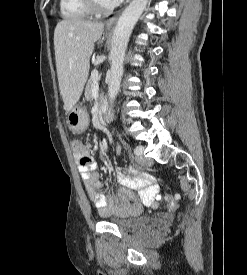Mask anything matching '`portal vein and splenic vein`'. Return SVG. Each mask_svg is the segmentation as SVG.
<instances>
[{
    "mask_svg": "<svg viewBox=\"0 0 247 275\" xmlns=\"http://www.w3.org/2000/svg\"><path fill=\"white\" fill-rule=\"evenodd\" d=\"M91 76L95 79V84H96V88L98 87V84H97V80H98V71L97 70H94L92 73H91Z\"/></svg>",
    "mask_w": 247,
    "mask_h": 275,
    "instance_id": "portal-vein-and-splenic-vein-1",
    "label": "portal vein and splenic vein"
}]
</instances>
